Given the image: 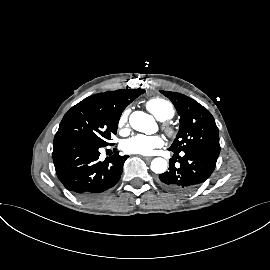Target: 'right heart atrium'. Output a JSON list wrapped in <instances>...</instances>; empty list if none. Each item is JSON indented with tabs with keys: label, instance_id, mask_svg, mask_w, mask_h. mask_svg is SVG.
<instances>
[{
	"label": "right heart atrium",
	"instance_id": "1",
	"mask_svg": "<svg viewBox=\"0 0 270 270\" xmlns=\"http://www.w3.org/2000/svg\"><path fill=\"white\" fill-rule=\"evenodd\" d=\"M129 113V109H125L119 116L118 127L123 131L126 130L128 127Z\"/></svg>",
	"mask_w": 270,
	"mask_h": 270
}]
</instances>
